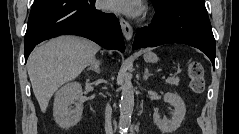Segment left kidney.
<instances>
[{"instance_id":"5707ae66","label":"left kidney","mask_w":239,"mask_h":134,"mask_svg":"<svg viewBox=\"0 0 239 134\" xmlns=\"http://www.w3.org/2000/svg\"><path fill=\"white\" fill-rule=\"evenodd\" d=\"M164 102L173 106L172 117L170 120L160 118L158 112H154L153 120L156 126L165 134H170L176 131L183 121L186 113V107L182 98L176 93H166L164 95Z\"/></svg>"}]
</instances>
